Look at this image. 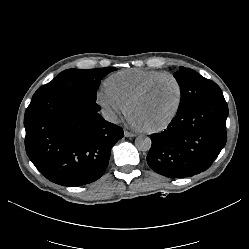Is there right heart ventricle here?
<instances>
[{"instance_id": "obj_1", "label": "right heart ventricle", "mask_w": 249, "mask_h": 249, "mask_svg": "<svg viewBox=\"0 0 249 249\" xmlns=\"http://www.w3.org/2000/svg\"><path fill=\"white\" fill-rule=\"evenodd\" d=\"M161 73L163 71L156 69H125L109 75L104 81V87L128 104L145 82Z\"/></svg>"}]
</instances>
